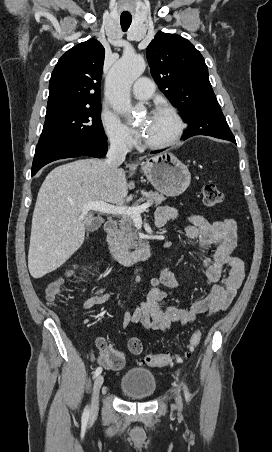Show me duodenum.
Segmentation results:
<instances>
[{
    "label": "duodenum",
    "instance_id": "410a0bca",
    "mask_svg": "<svg viewBox=\"0 0 272 452\" xmlns=\"http://www.w3.org/2000/svg\"><path fill=\"white\" fill-rule=\"evenodd\" d=\"M117 222L113 219L105 223L107 234L108 250L110 255L125 264H132L139 260H146L152 256V247L149 244H143L134 250H127L122 247L117 238Z\"/></svg>",
    "mask_w": 272,
    "mask_h": 452
}]
</instances>
